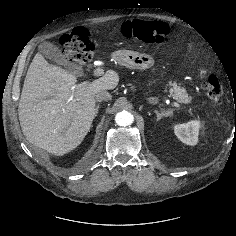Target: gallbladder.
Here are the masks:
<instances>
[{"label":"gallbladder","instance_id":"1","mask_svg":"<svg viewBox=\"0 0 236 236\" xmlns=\"http://www.w3.org/2000/svg\"><path fill=\"white\" fill-rule=\"evenodd\" d=\"M39 51L51 62L56 65L63 66L68 72L74 75H81L82 68L76 63L68 61L62 54L61 50L50 42H42L39 45Z\"/></svg>","mask_w":236,"mask_h":236}]
</instances>
